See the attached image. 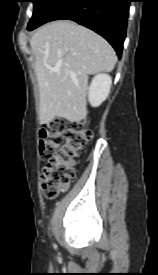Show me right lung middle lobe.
Masks as SVG:
<instances>
[{
	"label": "right lung middle lobe",
	"instance_id": "dd1d6c3e",
	"mask_svg": "<svg viewBox=\"0 0 158 275\" xmlns=\"http://www.w3.org/2000/svg\"><path fill=\"white\" fill-rule=\"evenodd\" d=\"M55 1L56 0H32L34 4L33 15L29 21L28 27L35 25Z\"/></svg>",
	"mask_w": 158,
	"mask_h": 275
}]
</instances>
